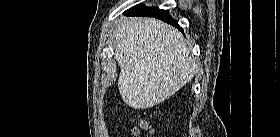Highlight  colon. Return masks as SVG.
I'll return each mask as SVG.
<instances>
[{
    "label": "colon",
    "instance_id": "colon-1",
    "mask_svg": "<svg viewBox=\"0 0 280 137\" xmlns=\"http://www.w3.org/2000/svg\"><path fill=\"white\" fill-rule=\"evenodd\" d=\"M136 136H142L143 132H153L151 124L147 120H141L138 126H134L132 129Z\"/></svg>",
    "mask_w": 280,
    "mask_h": 137
}]
</instances>
